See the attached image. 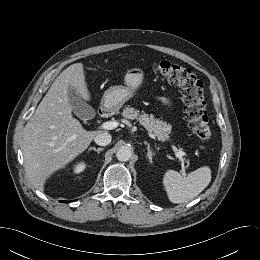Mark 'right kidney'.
Wrapping results in <instances>:
<instances>
[{
	"label": "right kidney",
	"mask_w": 260,
	"mask_h": 260,
	"mask_svg": "<svg viewBox=\"0 0 260 260\" xmlns=\"http://www.w3.org/2000/svg\"><path fill=\"white\" fill-rule=\"evenodd\" d=\"M85 168H86V164L84 162H80L74 166L73 172L78 174L81 173Z\"/></svg>",
	"instance_id": "obj_1"
}]
</instances>
